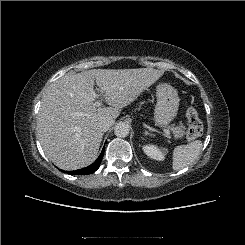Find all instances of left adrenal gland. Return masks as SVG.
I'll return each instance as SVG.
<instances>
[{
    "mask_svg": "<svg viewBox=\"0 0 245 245\" xmlns=\"http://www.w3.org/2000/svg\"><path fill=\"white\" fill-rule=\"evenodd\" d=\"M145 135H153L152 133L148 132L147 130L144 131Z\"/></svg>",
    "mask_w": 245,
    "mask_h": 245,
    "instance_id": "a2214340",
    "label": "left adrenal gland"
}]
</instances>
